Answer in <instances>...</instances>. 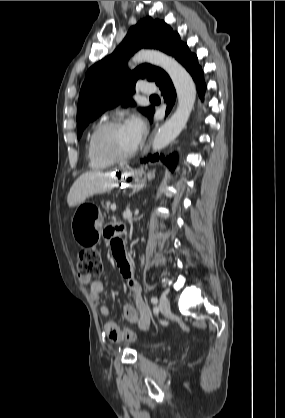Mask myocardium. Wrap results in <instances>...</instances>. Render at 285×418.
<instances>
[{"label": "myocardium", "mask_w": 285, "mask_h": 418, "mask_svg": "<svg viewBox=\"0 0 285 418\" xmlns=\"http://www.w3.org/2000/svg\"><path fill=\"white\" fill-rule=\"evenodd\" d=\"M124 126V122L122 119H109L102 123H100L95 130L93 131L91 138H90V146L92 151L102 160L118 163L122 161L129 160L132 158L138 149L137 144L134 146L132 150L125 154H117L113 152L104 142V137L107 132L112 129Z\"/></svg>", "instance_id": "obj_1"}]
</instances>
